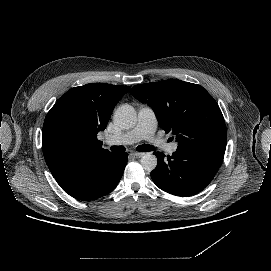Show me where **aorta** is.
Wrapping results in <instances>:
<instances>
[{
  "instance_id": "obj_1",
  "label": "aorta",
  "mask_w": 271,
  "mask_h": 271,
  "mask_svg": "<svg viewBox=\"0 0 271 271\" xmlns=\"http://www.w3.org/2000/svg\"><path fill=\"white\" fill-rule=\"evenodd\" d=\"M114 124L122 129L133 128L137 123V114L133 106L123 104L117 108L113 116ZM145 171L151 172L157 166V157L151 153H145L140 160Z\"/></svg>"
}]
</instances>
